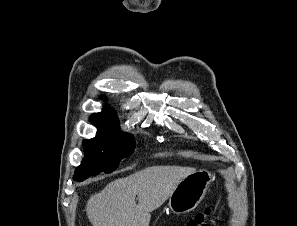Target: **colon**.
I'll return each mask as SVG.
<instances>
[{
  "mask_svg": "<svg viewBox=\"0 0 297 226\" xmlns=\"http://www.w3.org/2000/svg\"><path fill=\"white\" fill-rule=\"evenodd\" d=\"M216 215L217 213L214 208L208 206L189 220L186 226H210L211 222L216 218Z\"/></svg>",
  "mask_w": 297,
  "mask_h": 226,
  "instance_id": "colon-1",
  "label": "colon"
}]
</instances>
